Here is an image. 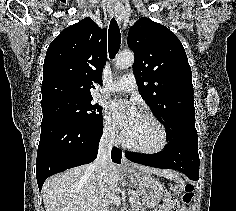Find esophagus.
<instances>
[{
    "mask_svg": "<svg viewBox=\"0 0 236 211\" xmlns=\"http://www.w3.org/2000/svg\"><path fill=\"white\" fill-rule=\"evenodd\" d=\"M109 15L110 16H114L116 14V11L114 8H110L109 9ZM121 167L123 168H131V167H134V164L131 163L125 156L124 153H122V158H121Z\"/></svg>",
    "mask_w": 236,
    "mask_h": 211,
    "instance_id": "esophagus-1",
    "label": "esophagus"
}]
</instances>
